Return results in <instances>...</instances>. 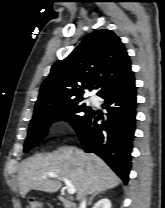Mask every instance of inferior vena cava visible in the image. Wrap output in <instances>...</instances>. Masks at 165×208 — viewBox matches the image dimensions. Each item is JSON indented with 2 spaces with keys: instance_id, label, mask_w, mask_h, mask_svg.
Instances as JSON below:
<instances>
[{
  "instance_id": "602c4592",
  "label": "inferior vena cava",
  "mask_w": 165,
  "mask_h": 208,
  "mask_svg": "<svg viewBox=\"0 0 165 208\" xmlns=\"http://www.w3.org/2000/svg\"><path fill=\"white\" fill-rule=\"evenodd\" d=\"M79 208H86V199H82Z\"/></svg>"
}]
</instances>
